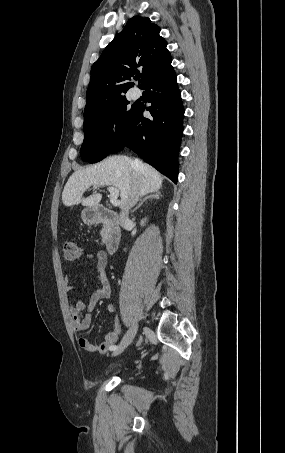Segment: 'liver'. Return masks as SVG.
<instances>
[{
    "instance_id": "obj_1",
    "label": "liver",
    "mask_w": 285,
    "mask_h": 453,
    "mask_svg": "<svg viewBox=\"0 0 285 453\" xmlns=\"http://www.w3.org/2000/svg\"><path fill=\"white\" fill-rule=\"evenodd\" d=\"M132 162L128 156H111L98 164L75 171L62 192L63 204L68 207L81 203L83 206L95 207L102 195L95 193L84 198V192L92 185L114 186L120 191V208L123 209L136 180L139 182L141 196L156 192L162 187L163 178L152 166L142 163L140 168H135Z\"/></svg>"
}]
</instances>
